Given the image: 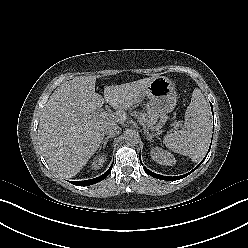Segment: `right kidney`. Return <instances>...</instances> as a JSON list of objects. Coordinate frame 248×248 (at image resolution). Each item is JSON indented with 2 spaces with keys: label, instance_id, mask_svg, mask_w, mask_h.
<instances>
[{
  "label": "right kidney",
  "instance_id": "ca27d5eb",
  "mask_svg": "<svg viewBox=\"0 0 248 248\" xmlns=\"http://www.w3.org/2000/svg\"><path fill=\"white\" fill-rule=\"evenodd\" d=\"M106 160V156L104 154L98 155L93 159L91 164V168L94 170L100 169Z\"/></svg>",
  "mask_w": 248,
  "mask_h": 248
}]
</instances>
